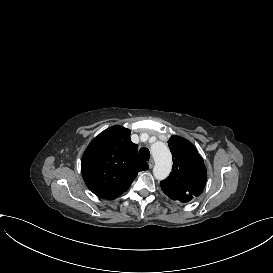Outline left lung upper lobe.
Segmentation results:
<instances>
[{"label":"left lung upper lobe","instance_id":"1","mask_svg":"<svg viewBox=\"0 0 273 273\" xmlns=\"http://www.w3.org/2000/svg\"><path fill=\"white\" fill-rule=\"evenodd\" d=\"M173 158L170 176L161 181L163 192L173 200L184 202L199 196L207 181L203 159L188 140L171 136L168 141Z\"/></svg>","mask_w":273,"mask_h":273}]
</instances>
